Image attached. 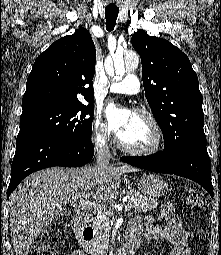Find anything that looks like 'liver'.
Returning a JSON list of instances; mask_svg holds the SVG:
<instances>
[{"label": "liver", "instance_id": "6515ba94", "mask_svg": "<svg viewBox=\"0 0 221 255\" xmlns=\"http://www.w3.org/2000/svg\"><path fill=\"white\" fill-rule=\"evenodd\" d=\"M137 169L124 165L53 167L28 176L9 199L10 227L16 255H28L33 241L48 228L67 203L93 198L98 205L117 198L121 176Z\"/></svg>", "mask_w": 221, "mask_h": 255}]
</instances>
